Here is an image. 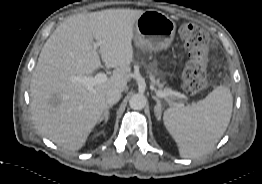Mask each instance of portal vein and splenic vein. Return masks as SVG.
<instances>
[{"mask_svg": "<svg viewBox=\"0 0 262 184\" xmlns=\"http://www.w3.org/2000/svg\"><path fill=\"white\" fill-rule=\"evenodd\" d=\"M99 45H100V42L94 43V49L97 50ZM72 81L73 82H79V83L83 84L89 91H91L94 88V86L106 82L107 81V75L104 72H99L94 77L75 76V77H72ZM174 94L179 96L180 98L187 99V97L184 94H181V93H178V92H175ZM156 95L160 98H166L169 95V93L164 92V91H157Z\"/></svg>", "mask_w": 262, "mask_h": 184, "instance_id": "obj_1", "label": "portal vein and splenic vein"}]
</instances>
